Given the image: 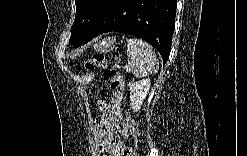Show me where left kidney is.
Masks as SVG:
<instances>
[{"label":"left kidney","mask_w":247,"mask_h":156,"mask_svg":"<svg viewBox=\"0 0 247 156\" xmlns=\"http://www.w3.org/2000/svg\"><path fill=\"white\" fill-rule=\"evenodd\" d=\"M150 79H142L130 84V108L134 112L141 109L144 99L150 89Z\"/></svg>","instance_id":"5707ae66"}]
</instances>
